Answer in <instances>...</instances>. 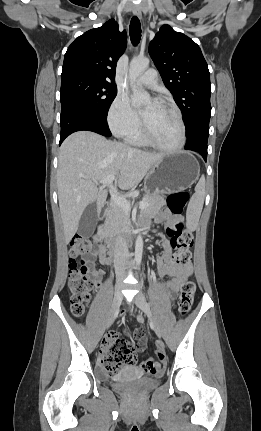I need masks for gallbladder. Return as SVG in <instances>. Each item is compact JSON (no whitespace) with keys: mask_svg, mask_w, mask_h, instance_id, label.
<instances>
[{"mask_svg":"<svg viewBox=\"0 0 261 431\" xmlns=\"http://www.w3.org/2000/svg\"><path fill=\"white\" fill-rule=\"evenodd\" d=\"M98 222L97 204L92 203L86 207L78 225V234L82 237H89L93 234Z\"/></svg>","mask_w":261,"mask_h":431,"instance_id":"1","label":"gallbladder"}]
</instances>
